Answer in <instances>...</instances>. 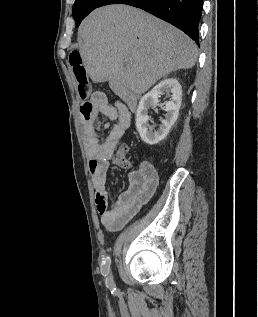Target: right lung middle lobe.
Instances as JSON below:
<instances>
[{
	"label": "right lung middle lobe",
	"instance_id": "dd1d6c3e",
	"mask_svg": "<svg viewBox=\"0 0 258 317\" xmlns=\"http://www.w3.org/2000/svg\"><path fill=\"white\" fill-rule=\"evenodd\" d=\"M86 1L87 0H75L73 9H72V15L74 18L77 16V14L79 13L80 9L82 8V6L84 5Z\"/></svg>",
	"mask_w": 258,
	"mask_h": 317
}]
</instances>
